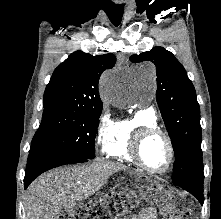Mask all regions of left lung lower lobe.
I'll return each mask as SVG.
<instances>
[{"label":"left lung lower lobe","instance_id":"1","mask_svg":"<svg viewBox=\"0 0 221 219\" xmlns=\"http://www.w3.org/2000/svg\"><path fill=\"white\" fill-rule=\"evenodd\" d=\"M177 185L194 195L203 205V182H189Z\"/></svg>","mask_w":221,"mask_h":219}]
</instances>
